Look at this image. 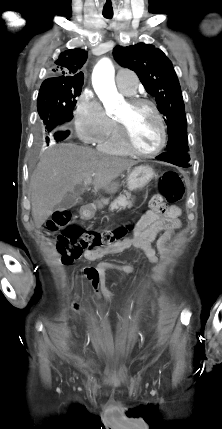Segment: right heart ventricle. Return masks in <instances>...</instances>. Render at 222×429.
Returning a JSON list of instances; mask_svg holds the SVG:
<instances>
[{
	"mask_svg": "<svg viewBox=\"0 0 222 429\" xmlns=\"http://www.w3.org/2000/svg\"><path fill=\"white\" fill-rule=\"evenodd\" d=\"M98 148L103 152L114 155H126L128 153L121 141L118 125L115 121H113L108 134L98 142Z\"/></svg>",
	"mask_w": 222,
	"mask_h": 429,
	"instance_id": "obj_1",
	"label": "right heart ventricle"
}]
</instances>
